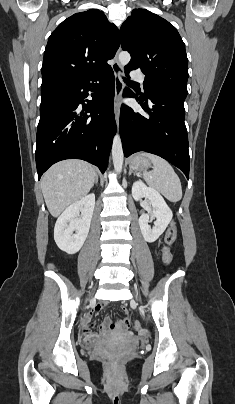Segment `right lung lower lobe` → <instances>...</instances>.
<instances>
[{
	"label": "right lung lower lobe",
	"mask_w": 235,
	"mask_h": 404,
	"mask_svg": "<svg viewBox=\"0 0 235 404\" xmlns=\"http://www.w3.org/2000/svg\"><path fill=\"white\" fill-rule=\"evenodd\" d=\"M88 91L94 92L92 101L84 100ZM114 92L111 67L92 76L42 85L36 145L38 179L54 163L71 158L88 161L105 172L116 131Z\"/></svg>",
	"instance_id": "right-lung-lower-lobe-1"
}]
</instances>
